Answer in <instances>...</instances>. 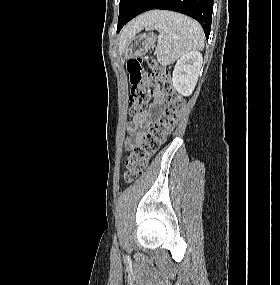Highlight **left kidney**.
Returning <instances> with one entry per match:
<instances>
[{"instance_id": "left-kidney-1", "label": "left kidney", "mask_w": 280, "mask_h": 285, "mask_svg": "<svg viewBox=\"0 0 280 285\" xmlns=\"http://www.w3.org/2000/svg\"><path fill=\"white\" fill-rule=\"evenodd\" d=\"M202 61V54L198 51H191L177 61L172 75V83L178 93L183 96L192 94L199 77Z\"/></svg>"}]
</instances>
